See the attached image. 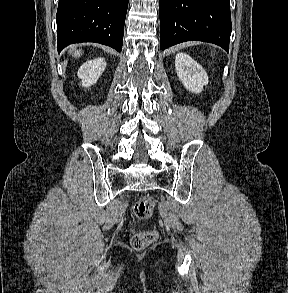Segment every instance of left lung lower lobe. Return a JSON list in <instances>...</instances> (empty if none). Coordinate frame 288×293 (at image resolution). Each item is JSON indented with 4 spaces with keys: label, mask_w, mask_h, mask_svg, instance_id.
<instances>
[{
    "label": "left lung lower lobe",
    "mask_w": 288,
    "mask_h": 293,
    "mask_svg": "<svg viewBox=\"0 0 288 293\" xmlns=\"http://www.w3.org/2000/svg\"><path fill=\"white\" fill-rule=\"evenodd\" d=\"M160 47L204 41L229 51L230 0H159Z\"/></svg>",
    "instance_id": "0a47b994"
}]
</instances>
